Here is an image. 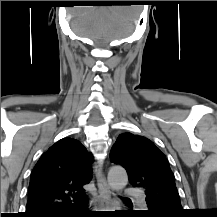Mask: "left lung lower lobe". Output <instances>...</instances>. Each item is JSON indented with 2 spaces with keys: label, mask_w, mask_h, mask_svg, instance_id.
<instances>
[{
  "label": "left lung lower lobe",
  "mask_w": 217,
  "mask_h": 217,
  "mask_svg": "<svg viewBox=\"0 0 217 217\" xmlns=\"http://www.w3.org/2000/svg\"><path fill=\"white\" fill-rule=\"evenodd\" d=\"M147 214L150 217H169V216H165V215H159V214H156V213H153V212H150V213H147Z\"/></svg>",
  "instance_id": "1"
}]
</instances>
